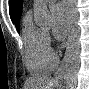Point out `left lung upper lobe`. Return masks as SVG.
<instances>
[{"label":"left lung upper lobe","instance_id":"left-lung-upper-lobe-1","mask_svg":"<svg viewBox=\"0 0 89 89\" xmlns=\"http://www.w3.org/2000/svg\"><path fill=\"white\" fill-rule=\"evenodd\" d=\"M20 1L21 0H9V11H10L11 19L14 18L15 7L19 4Z\"/></svg>","mask_w":89,"mask_h":89}]
</instances>
